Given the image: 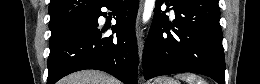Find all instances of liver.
Masks as SVG:
<instances>
[{"instance_id":"obj_1","label":"liver","mask_w":260,"mask_h":84,"mask_svg":"<svg viewBox=\"0 0 260 84\" xmlns=\"http://www.w3.org/2000/svg\"><path fill=\"white\" fill-rule=\"evenodd\" d=\"M60 84H120L117 79L106 73L96 70H83L60 81Z\"/></svg>"}]
</instances>
